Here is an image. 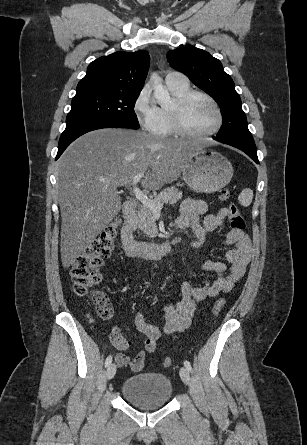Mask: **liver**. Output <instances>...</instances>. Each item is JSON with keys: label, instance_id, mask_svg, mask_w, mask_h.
Masks as SVG:
<instances>
[{"label": "liver", "instance_id": "1", "mask_svg": "<svg viewBox=\"0 0 307 445\" xmlns=\"http://www.w3.org/2000/svg\"><path fill=\"white\" fill-rule=\"evenodd\" d=\"M198 148L195 140L125 128H99L74 140L60 158L57 172L64 269L91 247L120 212L118 186L144 172L143 188L159 190L177 180Z\"/></svg>", "mask_w": 307, "mask_h": 445}]
</instances>
